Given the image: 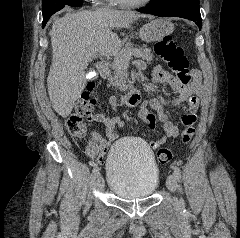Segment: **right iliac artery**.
<instances>
[{
  "label": "right iliac artery",
  "mask_w": 240,
  "mask_h": 238,
  "mask_svg": "<svg viewBox=\"0 0 240 238\" xmlns=\"http://www.w3.org/2000/svg\"><path fill=\"white\" fill-rule=\"evenodd\" d=\"M94 178H97L99 175V167L95 166L92 172Z\"/></svg>",
  "instance_id": "obj_1"
}]
</instances>
